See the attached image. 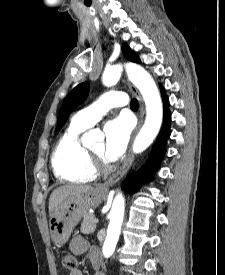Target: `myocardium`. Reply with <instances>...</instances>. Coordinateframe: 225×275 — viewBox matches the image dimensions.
Segmentation results:
<instances>
[{
    "instance_id": "obj_1",
    "label": "myocardium",
    "mask_w": 225,
    "mask_h": 275,
    "mask_svg": "<svg viewBox=\"0 0 225 275\" xmlns=\"http://www.w3.org/2000/svg\"><path fill=\"white\" fill-rule=\"evenodd\" d=\"M89 156L91 158V167L96 173L109 172L112 166L107 163L100 155L88 150Z\"/></svg>"
}]
</instances>
